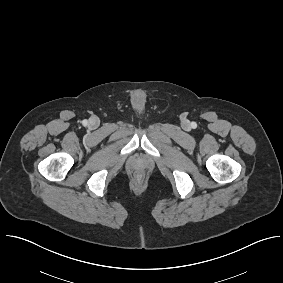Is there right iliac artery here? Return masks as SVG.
<instances>
[{
  "label": "right iliac artery",
  "mask_w": 283,
  "mask_h": 283,
  "mask_svg": "<svg viewBox=\"0 0 283 283\" xmlns=\"http://www.w3.org/2000/svg\"><path fill=\"white\" fill-rule=\"evenodd\" d=\"M83 125H87V120H84V121H83Z\"/></svg>",
  "instance_id": "1"
}]
</instances>
